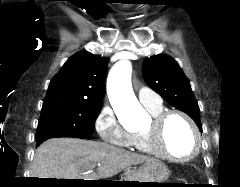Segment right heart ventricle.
I'll use <instances>...</instances> for the list:
<instances>
[{
  "instance_id": "e07e8e85",
  "label": "right heart ventricle",
  "mask_w": 240,
  "mask_h": 187,
  "mask_svg": "<svg viewBox=\"0 0 240 187\" xmlns=\"http://www.w3.org/2000/svg\"><path fill=\"white\" fill-rule=\"evenodd\" d=\"M146 108L152 114V116H155L163 111L162 105L160 107L155 108L152 107ZM131 146L140 153L153 155L152 151L148 146L147 139L142 134V132L131 134Z\"/></svg>"
}]
</instances>
